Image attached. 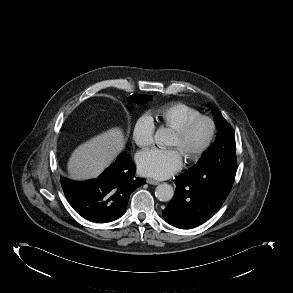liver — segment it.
Returning a JSON list of instances; mask_svg holds the SVG:
<instances>
[{
	"mask_svg": "<svg viewBox=\"0 0 293 293\" xmlns=\"http://www.w3.org/2000/svg\"><path fill=\"white\" fill-rule=\"evenodd\" d=\"M125 145L124 132L111 128L78 146L68 161L69 177L86 180L98 177L118 156Z\"/></svg>",
	"mask_w": 293,
	"mask_h": 293,
	"instance_id": "6515ba94",
	"label": "liver"
}]
</instances>
